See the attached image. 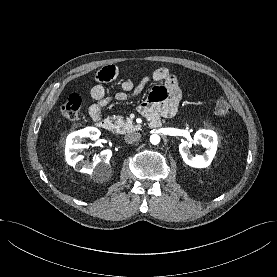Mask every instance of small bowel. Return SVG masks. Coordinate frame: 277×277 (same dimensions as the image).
<instances>
[{"label": "small bowel", "instance_id": "obj_1", "mask_svg": "<svg viewBox=\"0 0 277 277\" xmlns=\"http://www.w3.org/2000/svg\"><path fill=\"white\" fill-rule=\"evenodd\" d=\"M118 69L115 66H106L99 70L95 76L97 81L91 89L90 95L94 103L89 107L92 120L101 118V113L113 99L123 101L131 96L138 95L151 81L159 83L153 87L148 99L139 106V112L149 118L150 116L172 117L176 114L180 100L181 89L177 77L167 68H158L150 76L143 77L138 84L129 79L118 80L121 91L113 96L107 95L104 84L117 80Z\"/></svg>", "mask_w": 277, "mask_h": 277}]
</instances>
